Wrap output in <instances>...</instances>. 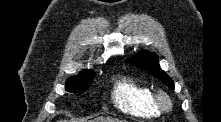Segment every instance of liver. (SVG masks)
I'll list each match as a JSON object with an SVG mask.
<instances>
[{"mask_svg": "<svg viewBox=\"0 0 221 122\" xmlns=\"http://www.w3.org/2000/svg\"><path fill=\"white\" fill-rule=\"evenodd\" d=\"M96 120L97 122H125L123 120L116 118H97Z\"/></svg>", "mask_w": 221, "mask_h": 122, "instance_id": "1", "label": "liver"}]
</instances>
